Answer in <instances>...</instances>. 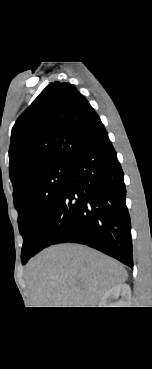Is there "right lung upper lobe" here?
Listing matches in <instances>:
<instances>
[{
  "label": "right lung upper lobe",
  "instance_id": "right-lung-upper-lobe-1",
  "mask_svg": "<svg viewBox=\"0 0 152 369\" xmlns=\"http://www.w3.org/2000/svg\"><path fill=\"white\" fill-rule=\"evenodd\" d=\"M104 131L99 116L73 85L49 84L12 128L9 173L13 194L32 173L70 163Z\"/></svg>",
  "mask_w": 152,
  "mask_h": 369
}]
</instances>
